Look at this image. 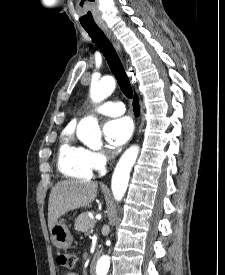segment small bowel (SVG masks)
I'll list each match as a JSON object with an SVG mask.
<instances>
[{"label":"small bowel","instance_id":"obj_1","mask_svg":"<svg viewBox=\"0 0 225 275\" xmlns=\"http://www.w3.org/2000/svg\"><path fill=\"white\" fill-rule=\"evenodd\" d=\"M63 275H79L77 272H67L64 273Z\"/></svg>","mask_w":225,"mask_h":275}]
</instances>
